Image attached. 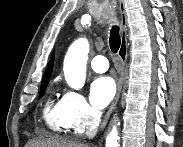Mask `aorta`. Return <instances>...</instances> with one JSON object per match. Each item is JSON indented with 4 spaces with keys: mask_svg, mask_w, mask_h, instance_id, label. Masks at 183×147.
Instances as JSON below:
<instances>
[{
    "mask_svg": "<svg viewBox=\"0 0 183 147\" xmlns=\"http://www.w3.org/2000/svg\"><path fill=\"white\" fill-rule=\"evenodd\" d=\"M89 43L86 38H79L68 49L64 59V76L67 84L80 90L86 79V63L88 59ZM119 136L114 126L106 138V147H119Z\"/></svg>",
    "mask_w": 183,
    "mask_h": 147,
    "instance_id": "1",
    "label": "aorta"
}]
</instances>
